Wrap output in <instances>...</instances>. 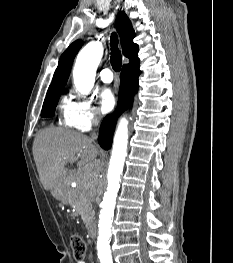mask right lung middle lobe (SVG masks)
I'll return each instance as SVG.
<instances>
[{
    "instance_id": "obj_1",
    "label": "right lung middle lobe",
    "mask_w": 233,
    "mask_h": 263,
    "mask_svg": "<svg viewBox=\"0 0 233 263\" xmlns=\"http://www.w3.org/2000/svg\"><path fill=\"white\" fill-rule=\"evenodd\" d=\"M62 88H57L54 90H50L47 92L46 98L43 103L41 117L47 118L54 115L55 108L57 105V102L59 100V97L62 93Z\"/></svg>"
}]
</instances>
